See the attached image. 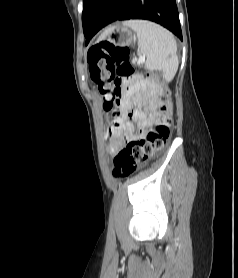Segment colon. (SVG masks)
<instances>
[{
	"label": "colon",
	"instance_id": "5ec220e1",
	"mask_svg": "<svg viewBox=\"0 0 238 278\" xmlns=\"http://www.w3.org/2000/svg\"><path fill=\"white\" fill-rule=\"evenodd\" d=\"M90 78L100 95L104 98V109L112 112L110 132L115 128L117 107L123 86L133 80L135 70L127 47L102 41L87 52ZM149 75H147L148 77ZM150 86L149 83H147ZM158 100V121L154 129L142 140L129 142L114 157L113 176L124 178L131 175L141 164L161 152L170 136L172 122V104L163 93H153Z\"/></svg>",
	"mask_w": 238,
	"mask_h": 278
}]
</instances>
